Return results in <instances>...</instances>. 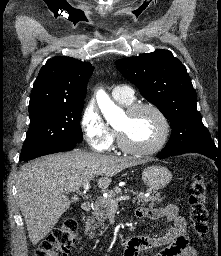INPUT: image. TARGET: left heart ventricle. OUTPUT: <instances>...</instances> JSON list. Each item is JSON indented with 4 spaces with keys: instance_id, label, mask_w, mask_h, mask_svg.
Instances as JSON below:
<instances>
[{
    "instance_id": "b2bd125f",
    "label": "left heart ventricle",
    "mask_w": 221,
    "mask_h": 256,
    "mask_svg": "<svg viewBox=\"0 0 221 256\" xmlns=\"http://www.w3.org/2000/svg\"><path fill=\"white\" fill-rule=\"evenodd\" d=\"M125 141L134 147H148L154 144L160 136L161 124L157 116L144 109L128 115L125 113L117 124Z\"/></svg>"
}]
</instances>
